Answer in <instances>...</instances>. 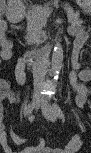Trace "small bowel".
<instances>
[{
  "label": "small bowel",
  "mask_w": 91,
  "mask_h": 153,
  "mask_svg": "<svg viewBox=\"0 0 91 153\" xmlns=\"http://www.w3.org/2000/svg\"><path fill=\"white\" fill-rule=\"evenodd\" d=\"M1 24H5V23L2 22ZM5 30H6L5 27H3V31H0V34H1V32L5 33ZM9 50H10V43L7 42V43L4 44V47H3V56L4 57L8 56ZM74 64H75V62H74ZM24 70H25L24 64L22 62L19 63L17 68H16V80L19 84L24 83V80H25V71ZM79 76H80V73L75 68L73 73H72V82L75 85V88L77 90V104L80 107H83L87 102V92H86V89L84 88V86L76 83V80ZM6 87H8V85ZM5 97L12 103L17 102V100H18L17 96H15L10 91L5 92ZM11 137H12L13 142L17 145H22L26 141L24 138H21L14 133L11 134ZM0 142H1L2 146L4 147L5 151L10 152V149L7 147L6 132L4 131V129H1V132H0ZM81 144H82V139H81L80 135H77L76 137H74L63 148H58V149L50 148L49 146H47L41 140V143H40L39 146L32 147V148H27V149L24 150V152L25 153H37V152H43V153H75L76 151H78Z\"/></svg>",
  "instance_id": "obj_1"
}]
</instances>
